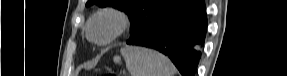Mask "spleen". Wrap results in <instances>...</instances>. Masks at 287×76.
Masks as SVG:
<instances>
[{
	"label": "spleen",
	"instance_id": "1",
	"mask_svg": "<svg viewBox=\"0 0 287 76\" xmlns=\"http://www.w3.org/2000/svg\"><path fill=\"white\" fill-rule=\"evenodd\" d=\"M120 52L131 76H174L176 73L172 62L157 51L125 46ZM113 60L115 63H121L120 56H115Z\"/></svg>",
	"mask_w": 287,
	"mask_h": 76
}]
</instances>
